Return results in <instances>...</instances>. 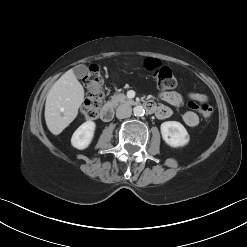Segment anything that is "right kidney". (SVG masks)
Listing matches in <instances>:
<instances>
[{"mask_svg":"<svg viewBox=\"0 0 247 247\" xmlns=\"http://www.w3.org/2000/svg\"><path fill=\"white\" fill-rule=\"evenodd\" d=\"M95 128L96 124L93 121H87L79 126L72 135V146L79 150L87 148L94 137Z\"/></svg>","mask_w":247,"mask_h":247,"instance_id":"1","label":"right kidney"}]
</instances>
